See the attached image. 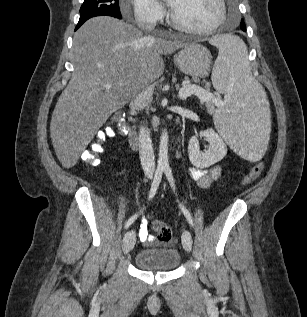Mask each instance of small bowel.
<instances>
[{
	"label": "small bowel",
	"instance_id": "1",
	"mask_svg": "<svg viewBox=\"0 0 307 317\" xmlns=\"http://www.w3.org/2000/svg\"><path fill=\"white\" fill-rule=\"evenodd\" d=\"M222 168L219 165L213 166L208 169L191 168L190 176L202 188L209 187L214 181L220 178ZM139 238L142 242L150 243L153 240V235L148 231L147 221H142L139 229Z\"/></svg>",
	"mask_w": 307,
	"mask_h": 317
}]
</instances>
